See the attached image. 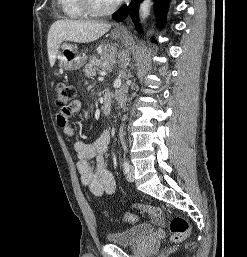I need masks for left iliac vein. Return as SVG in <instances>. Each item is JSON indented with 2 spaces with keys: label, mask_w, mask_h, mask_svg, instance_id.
<instances>
[{
  "label": "left iliac vein",
  "mask_w": 247,
  "mask_h": 257,
  "mask_svg": "<svg viewBox=\"0 0 247 257\" xmlns=\"http://www.w3.org/2000/svg\"><path fill=\"white\" fill-rule=\"evenodd\" d=\"M134 174H135V169L132 165L129 167V171L127 172L126 178L129 182L134 181Z\"/></svg>",
  "instance_id": "1"
}]
</instances>
